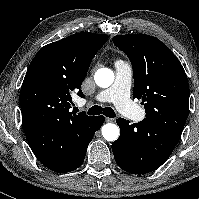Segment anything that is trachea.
<instances>
[{
    "mask_svg": "<svg viewBox=\"0 0 199 199\" xmlns=\"http://www.w3.org/2000/svg\"><path fill=\"white\" fill-rule=\"evenodd\" d=\"M89 115H99L103 114L106 117L114 118L116 116L114 110L111 107L102 108L101 106L95 105L88 109Z\"/></svg>",
    "mask_w": 199,
    "mask_h": 199,
    "instance_id": "1",
    "label": "trachea"
}]
</instances>
